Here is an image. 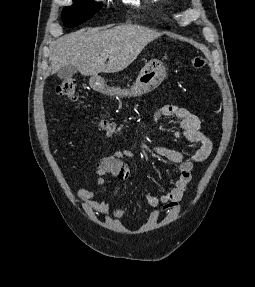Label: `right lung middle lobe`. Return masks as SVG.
<instances>
[{
  "instance_id": "dd1d6c3e",
  "label": "right lung middle lobe",
  "mask_w": 255,
  "mask_h": 287,
  "mask_svg": "<svg viewBox=\"0 0 255 287\" xmlns=\"http://www.w3.org/2000/svg\"><path fill=\"white\" fill-rule=\"evenodd\" d=\"M71 7H65L62 18L66 27H75L90 19L102 7L101 2L93 0H73Z\"/></svg>"
}]
</instances>
